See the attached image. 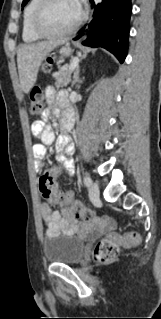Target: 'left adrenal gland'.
<instances>
[{"label": "left adrenal gland", "mask_w": 161, "mask_h": 319, "mask_svg": "<svg viewBox=\"0 0 161 319\" xmlns=\"http://www.w3.org/2000/svg\"><path fill=\"white\" fill-rule=\"evenodd\" d=\"M79 66L76 68L75 73H74V77H73V82L72 85H74L75 83H77L79 81Z\"/></svg>", "instance_id": "1"}]
</instances>
